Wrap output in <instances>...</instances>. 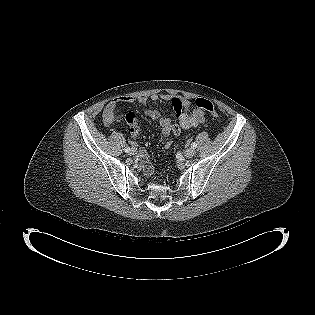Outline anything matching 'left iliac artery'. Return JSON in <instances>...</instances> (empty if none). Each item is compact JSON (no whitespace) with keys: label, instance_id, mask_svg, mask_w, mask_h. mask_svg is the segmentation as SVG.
<instances>
[{"label":"left iliac artery","instance_id":"1","mask_svg":"<svg viewBox=\"0 0 315 315\" xmlns=\"http://www.w3.org/2000/svg\"><path fill=\"white\" fill-rule=\"evenodd\" d=\"M191 147H192V148H196V147H197V143L193 142V143L191 144Z\"/></svg>","mask_w":315,"mask_h":315}]
</instances>
